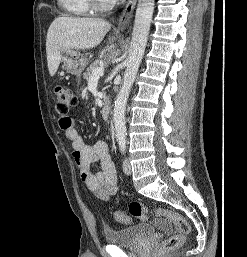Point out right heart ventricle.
Returning <instances> with one entry per match:
<instances>
[{"label": "right heart ventricle", "instance_id": "right-heart-ventricle-1", "mask_svg": "<svg viewBox=\"0 0 247 257\" xmlns=\"http://www.w3.org/2000/svg\"><path fill=\"white\" fill-rule=\"evenodd\" d=\"M60 7L70 16H87L92 12L89 0H58Z\"/></svg>", "mask_w": 247, "mask_h": 257}]
</instances>
